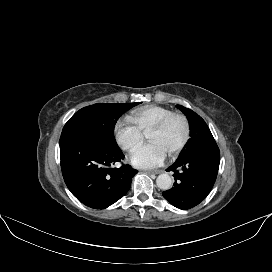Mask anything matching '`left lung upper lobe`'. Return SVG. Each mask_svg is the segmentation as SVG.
<instances>
[{
    "instance_id": "obj_1",
    "label": "left lung upper lobe",
    "mask_w": 272,
    "mask_h": 272,
    "mask_svg": "<svg viewBox=\"0 0 272 272\" xmlns=\"http://www.w3.org/2000/svg\"><path fill=\"white\" fill-rule=\"evenodd\" d=\"M177 108L185 114L190 126L191 138L189 139L183 154L200 148L206 144L215 142L207 124L198 114L181 105H177Z\"/></svg>"
}]
</instances>
